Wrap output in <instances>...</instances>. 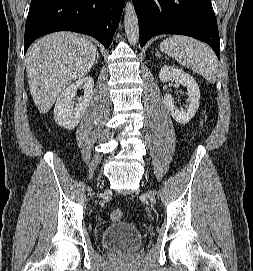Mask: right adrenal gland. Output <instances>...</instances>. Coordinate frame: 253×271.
<instances>
[{
    "label": "right adrenal gland",
    "instance_id": "1",
    "mask_svg": "<svg viewBox=\"0 0 253 271\" xmlns=\"http://www.w3.org/2000/svg\"><path fill=\"white\" fill-rule=\"evenodd\" d=\"M98 59H99V55H97L96 62L98 61Z\"/></svg>",
    "mask_w": 253,
    "mask_h": 271
}]
</instances>
